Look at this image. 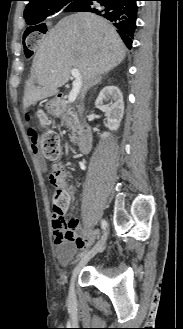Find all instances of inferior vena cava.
<instances>
[{
  "label": "inferior vena cava",
  "instance_id": "1",
  "mask_svg": "<svg viewBox=\"0 0 183 329\" xmlns=\"http://www.w3.org/2000/svg\"><path fill=\"white\" fill-rule=\"evenodd\" d=\"M90 85L89 84H85L83 85V89H82V93H81V97L83 98L85 93L87 92V90L89 89Z\"/></svg>",
  "mask_w": 183,
  "mask_h": 329
}]
</instances>
